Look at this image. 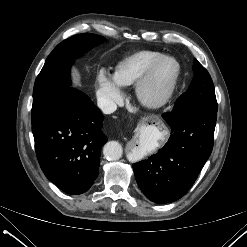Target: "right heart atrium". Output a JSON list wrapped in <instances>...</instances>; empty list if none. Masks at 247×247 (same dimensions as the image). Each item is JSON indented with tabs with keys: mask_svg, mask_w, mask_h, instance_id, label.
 <instances>
[{
	"mask_svg": "<svg viewBox=\"0 0 247 247\" xmlns=\"http://www.w3.org/2000/svg\"><path fill=\"white\" fill-rule=\"evenodd\" d=\"M97 97L107 111L113 110L123 99L121 86L104 70L99 71L97 75Z\"/></svg>",
	"mask_w": 247,
	"mask_h": 247,
	"instance_id": "d8ad5b80",
	"label": "right heart atrium"
}]
</instances>
